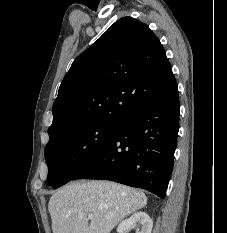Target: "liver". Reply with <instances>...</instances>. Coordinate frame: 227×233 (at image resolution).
I'll return each instance as SVG.
<instances>
[{"label":"liver","mask_w":227,"mask_h":233,"mask_svg":"<svg viewBox=\"0 0 227 233\" xmlns=\"http://www.w3.org/2000/svg\"><path fill=\"white\" fill-rule=\"evenodd\" d=\"M146 204L145 194L128 186L109 181H78L55 192L48 209L53 233H110ZM88 214H93V220Z\"/></svg>","instance_id":"liver-1"}]
</instances>
